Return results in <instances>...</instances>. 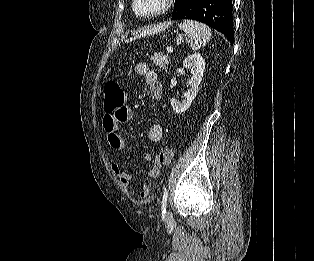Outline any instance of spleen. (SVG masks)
<instances>
[{"mask_svg": "<svg viewBox=\"0 0 314 261\" xmlns=\"http://www.w3.org/2000/svg\"><path fill=\"white\" fill-rule=\"evenodd\" d=\"M179 28L190 38L192 50L203 48L212 36L211 29L207 25L193 20H185L179 24Z\"/></svg>", "mask_w": 314, "mask_h": 261, "instance_id": "obj_1", "label": "spleen"}]
</instances>
